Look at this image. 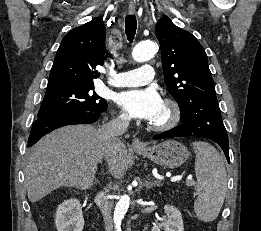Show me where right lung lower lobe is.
Here are the masks:
<instances>
[{
	"instance_id": "obj_1",
	"label": "right lung lower lobe",
	"mask_w": 261,
	"mask_h": 231,
	"mask_svg": "<svg viewBox=\"0 0 261 231\" xmlns=\"http://www.w3.org/2000/svg\"><path fill=\"white\" fill-rule=\"evenodd\" d=\"M107 109V108H106ZM72 111L38 119L33 123L27 147L34 145L41 137L62 126L72 124H89L97 121L101 114L106 111Z\"/></svg>"
}]
</instances>
